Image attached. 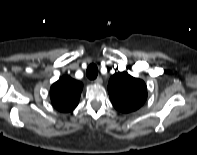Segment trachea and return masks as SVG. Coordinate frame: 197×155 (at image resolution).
<instances>
[{
	"label": "trachea",
	"mask_w": 197,
	"mask_h": 155,
	"mask_svg": "<svg viewBox=\"0 0 197 155\" xmlns=\"http://www.w3.org/2000/svg\"><path fill=\"white\" fill-rule=\"evenodd\" d=\"M86 75L89 79L93 80L97 77L98 75V68L95 64H91L88 66L86 70Z\"/></svg>",
	"instance_id": "obj_1"
}]
</instances>
